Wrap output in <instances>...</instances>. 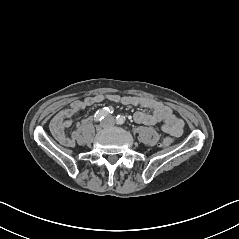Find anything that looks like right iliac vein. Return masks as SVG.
Wrapping results in <instances>:
<instances>
[{"label": "right iliac vein", "instance_id": "obj_1", "mask_svg": "<svg viewBox=\"0 0 239 239\" xmlns=\"http://www.w3.org/2000/svg\"><path fill=\"white\" fill-rule=\"evenodd\" d=\"M104 126V124H101L98 126V129H101Z\"/></svg>", "mask_w": 239, "mask_h": 239}]
</instances>
